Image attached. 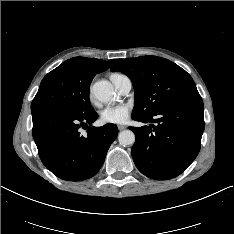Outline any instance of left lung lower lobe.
Here are the masks:
<instances>
[{
	"instance_id": "0a47b994",
	"label": "left lung lower lobe",
	"mask_w": 234,
	"mask_h": 234,
	"mask_svg": "<svg viewBox=\"0 0 234 234\" xmlns=\"http://www.w3.org/2000/svg\"><path fill=\"white\" fill-rule=\"evenodd\" d=\"M149 126L129 127L136 140L131 153L138 170L156 180L180 175L196 158L205 128L200 95L173 103L149 117Z\"/></svg>"
}]
</instances>
